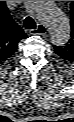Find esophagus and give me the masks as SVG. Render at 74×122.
<instances>
[{"mask_svg":"<svg viewBox=\"0 0 74 122\" xmlns=\"http://www.w3.org/2000/svg\"><path fill=\"white\" fill-rule=\"evenodd\" d=\"M46 31H47L46 26L42 23H39L36 29L30 30L29 32L32 35H43L46 33Z\"/></svg>","mask_w":74,"mask_h":122,"instance_id":"esophagus-1","label":"esophagus"}]
</instances>
